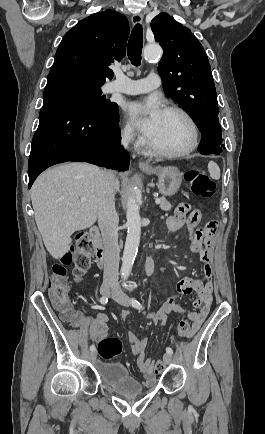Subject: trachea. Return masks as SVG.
<instances>
[{"label":"trachea","instance_id":"1","mask_svg":"<svg viewBox=\"0 0 265 434\" xmlns=\"http://www.w3.org/2000/svg\"><path fill=\"white\" fill-rule=\"evenodd\" d=\"M143 48V30L140 24H137L132 30L129 38L127 54L132 65L138 67L141 64V53Z\"/></svg>","mask_w":265,"mask_h":434}]
</instances>
